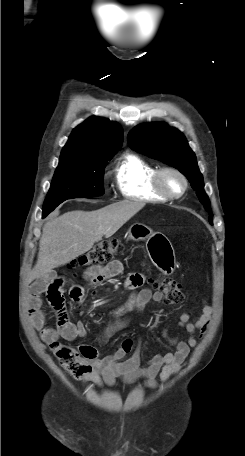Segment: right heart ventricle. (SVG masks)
Wrapping results in <instances>:
<instances>
[{
    "instance_id": "1",
    "label": "right heart ventricle",
    "mask_w": 245,
    "mask_h": 456,
    "mask_svg": "<svg viewBox=\"0 0 245 456\" xmlns=\"http://www.w3.org/2000/svg\"><path fill=\"white\" fill-rule=\"evenodd\" d=\"M157 167L134 154L124 155L114 170L116 186L123 197L129 200L162 202L152 186V177Z\"/></svg>"
}]
</instances>
